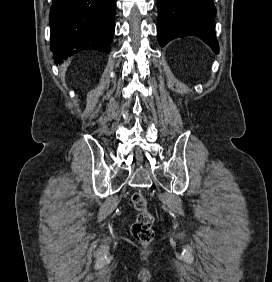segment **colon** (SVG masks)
Wrapping results in <instances>:
<instances>
[{
	"mask_svg": "<svg viewBox=\"0 0 272 282\" xmlns=\"http://www.w3.org/2000/svg\"><path fill=\"white\" fill-rule=\"evenodd\" d=\"M131 202L137 212L136 219L132 224V234L138 242L148 244L153 239L154 223L148 200L142 191H137L132 195Z\"/></svg>",
	"mask_w": 272,
	"mask_h": 282,
	"instance_id": "obj_1",
	"label": "colon"
}]
</instances>
